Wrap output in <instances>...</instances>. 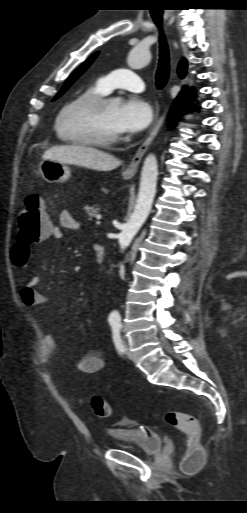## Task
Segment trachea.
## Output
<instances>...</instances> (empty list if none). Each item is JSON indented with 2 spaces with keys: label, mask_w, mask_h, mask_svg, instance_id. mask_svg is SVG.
<instances>
[{
  "label": "trachea",
  "mask_w": 247,
  "mask_h": 513,
  "mask_svg": "<svg viewBox=\"0 0 247 513\" xmlns=\"http://www.w3.org/2000/svg\"><path fill=\"white\" fill-rule=\"evenodd\" d=\"M154 23L160 27L162 21L156 18H153ZM169 77V50L168 45L165 39V36L161 33L160 35V58L158 69L156 73V86L158 89H162Z\"/></svg>",
  "instance_id": "1"
}]
</instances>
